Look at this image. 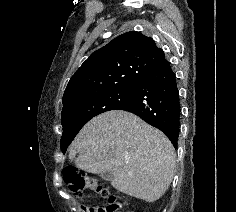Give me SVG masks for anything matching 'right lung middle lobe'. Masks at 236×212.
Returning a JSON list of instances; mask_svg holds the SVG:
<instances>
[{"mask_svg": "<svg viewBox=\"0 0 236 212\" xmlns=\"http://www.w3.org/2000/svg\"><path fill=\"white\" fill-rule=\"evenodd\" d=\"M136 86L122 87L83 97L63 106L61 150L65 153L80 129L93 117L116 110L133 94Z\"/></svg>", "mask_w": 236, "mask_h": 212, "instance_id": "dd1d6c3e", "label": "right lung middle lobe"}]
</instances>
